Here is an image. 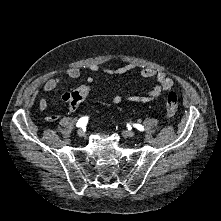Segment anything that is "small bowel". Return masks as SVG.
Instances as JSON below:
<instances>
[{"label": "small bowel", "mask_w": 221, "mask_h": 221, "mask_svg": "<svg viewBox=\"0 0 221 221\" xmlns=\"http://www.w3.org/2000/svg\"><path fill=\"white\" fill-rule=\"evenodd\" d=\"M134 68H135V66L131 65V64L124 65V66H121V67H118L115 69L104 68L98 64H92L90 66V70L92 72H95V73L102 72V73L107 74L109 76L125 75V74L133 71ZM64 76L68 79H77L81 76V70L78 67H70L64 71ZM140 76L145 79H154L156 82V85L153 89L148 91L145 95H130V96H128L127 100L129 102L141 103V104L151 102L154 99L163 95L165 92L172 90L173 85H174L173 79L168 74L163 73V72H158L152 68H145V69L141 70ZM64 80L65 79L63 77H59V76L52 77V78L48 79L43 84V87H42L43 91L44 92H52V91L56 90L64 82ZM87 82L88 83L94 82V77L89 76L87 78ZM84 86L85 85H82L79 88L84 87ZM79 88H77L76 90H78ZM76 90H73L70 92H64L61 95L62 100L65 101L66 103H68L70 106H72L73 104L71 103V96L74 93V91H76ZM85 98H86V96L83 99H85ZM121 101H122V97L120 95H115L112 98L113 104H119ZM47 107H48L47 100H45V99L40 100L39 108L41 110H46ZM58 118H59V115L55 114V113H51V114H48L45 116V120L48 122H54Z\"/></svg>", "instance_id": "c3829d8e"}]
</instances>
